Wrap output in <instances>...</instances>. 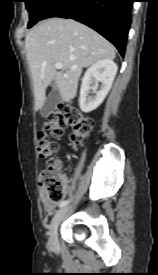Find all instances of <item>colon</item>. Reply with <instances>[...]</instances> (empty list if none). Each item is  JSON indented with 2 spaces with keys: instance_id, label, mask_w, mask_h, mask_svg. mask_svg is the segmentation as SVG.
<instances>
[{
  "instance_id": "obj_1",
  "label": "colon",
  "mask_w": 158,
  "mask_h": 275,
  "mask_svg": "<svg viewBox=\"0 0 158 275\" xmlns=\"http://www.w3.org/2000/svg\"><path fill=\"white\" fill-rule=\"evenodd\" d=\"M93 124V120L84 113L67 107H59L48 113L44 128L37 135V151L40 158L49 159L39 176V185L49 200L56 203L62 201L67 188V178L60 170V161L53 158L58 144L50 136L59 137L69 127L72 142L78 144L89 135Z\"/></svg>"
}]
</instances>
